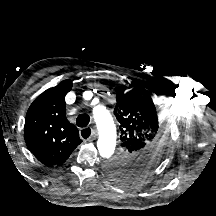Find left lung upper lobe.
Returning <instances> with one entry per match:
<instances>
[{
    "label": "left lung upper lobe",
    "mask_w": 216,
    "mask_h": 216,
    "mask_svg": "<svg viewBox=\"0 0 216 216\" xmlns=\"http://www.w3.org/2000/svg\"><path fill=\"white\" fill-rule=\"evenodd\" d=\"M114 114L119 122L120 150L106 163L108 176L118 181L137 180L165 158L170 135L150 91L133 89L116 94Z\"/></svg>",
    "instance_id": "obj_1"
}]
</instances>
